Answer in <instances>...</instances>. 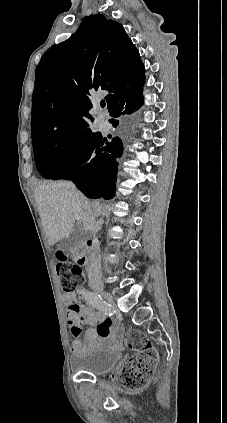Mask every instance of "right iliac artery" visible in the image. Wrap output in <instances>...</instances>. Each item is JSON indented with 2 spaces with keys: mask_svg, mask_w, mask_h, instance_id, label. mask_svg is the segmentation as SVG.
Instances as JSON below:
<instances>
[{
  "mask_svg": "<svg viewBox=\"0 0 227 423\" xmlns=\"http://www.w3.org/2000/svg\"><path fill=\"white\" fill-rule=\"evenodd\" d=\"M84 298L86 302L91 305L92 307L99 309L100 311L104 312L105 314L111 315L114 319L113 310H109L110 304L105 302L103 298L97 293L86 290L84 293Z\"/></svg>",
  "mask_w": 227,
  "mask_h": 423,
  "instance_id": "1",
  "label": "right iliac artery"
}]
</instances>
